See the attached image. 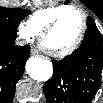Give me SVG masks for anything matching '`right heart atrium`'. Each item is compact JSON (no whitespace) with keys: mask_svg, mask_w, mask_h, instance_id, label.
Returning <instances> with one entry per match:
<instances>
[{"mask_svg":"<svg viewBox=\"0 0 103 103\" xmlns=\"http://www.w3.org/2000/svg\"><path fill=\"white\" fill-rule=\"evenodd\" d=\"M17 33L18 36L24 40V41H31L35 38L36 34L33 32V30L24 23H20L17 27Z\"/></svg>","mask_w":103,"mask_h":103,"instance_id":"1","label":"right heart atrium"}]
</instances>
